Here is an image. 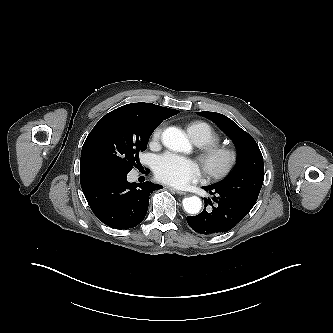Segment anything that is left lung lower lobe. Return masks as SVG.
<instances>
[{"label": "left lung lower lobe", "mask_w": 333, "mask_h": 333, "mask_svg": "<svg viewBox=\"0 0 333 333\" xmlns=\"http://www.w3.org/2000/svg\"><path fill=\"white\" fill-rule=\"evenodd\" d=\"M203 189L215 195L213 201L216 204L212 205L211 211L204 209L196 216L187 217L188 225L199 234L216 235L231 230L256 203L248 198L232 195L212 186H205Z\"/></svg>", "instance_id": "left-lung-lower-lobe-1"}]
</instances>
